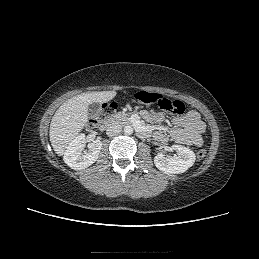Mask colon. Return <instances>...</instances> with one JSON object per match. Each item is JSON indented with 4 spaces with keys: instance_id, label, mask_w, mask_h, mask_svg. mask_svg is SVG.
<instances>
[{
    "instance_id": "obj_1",
    "label": "colon",
    "mask_w": 259,
    "mask_h": 259,
    "mask_svg": "<svg viewBox=\"0 0 259 259\" xmlns=\"http://www.w3.org/2000/svg\"><path fill=\"white\" fill-rule=\"evenodd\" d=\"M132 100L141 104H156L160 109L168 111L173 114L181 115L185 112V104L179 100H172L164 95L148 92L139 91L132 96ZM117 109L115 102H108L102 105L99 115L90 121V127H95L104 119L112 116ZM206 156V151L200 149L197 152L198 159H203Z\"/></svg>"
}]
</instances>
